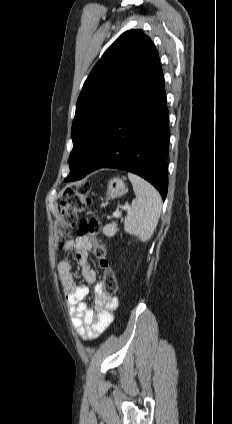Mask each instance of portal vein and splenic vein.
I'll list each match as a JSON object with an SVG mask.
<instances>
[{
    "label": "portal vein and splenic vein",
    "mask_w": 232,
    "mask_h": 424,
    "mask_svg": "<svg viewBox=\"0 0 232 424\" xmlns=\"http://www.w3.org/2000/svg\"><path fill=\"white\" fill-rule=\"evenodd\" d=\"M121 209L122 210H129L130 207H129V205H125V206H122ZM114 216H118V213H114Z\"/></svg>",
    "instance_id": "portal-vein-and-splenic-vein-1"
}]
</instances>
